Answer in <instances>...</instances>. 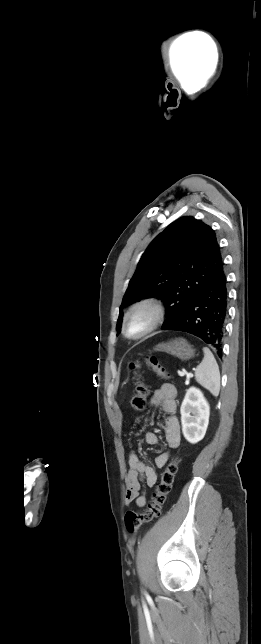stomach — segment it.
Masks as SVG:
<instances>
[{"mask_svg":"<svg viewBox=\"0 0 261 644\" xmlns=\"http://www.w3.org/2000/svg\"><path fill=\"white\" fill-rule=\"evenodd\" d=\"M154 350L169 353L181 360H189L195 353L193 347L183 338H176L166 343H160Z\"/></svg>","mask_w":261,"mask_h":644,"instance_id":"stomach-1","label":"stomach"}]
</instances>
